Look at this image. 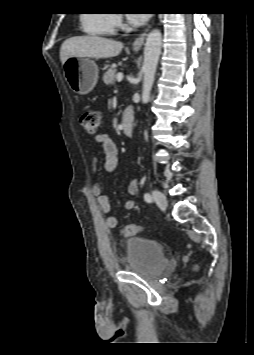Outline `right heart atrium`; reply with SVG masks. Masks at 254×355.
I'll return each mask as SVG.
<instances>
[{
    "mask_svg": "<svg viewBox=\"0 0 254 355\" xmlns=\"http://www.w3.org/2000/svg\"><path fill=\"white\" fill-rule=\"evenodd\" d=\"M110 22L114 31L122 26V19L119 13L114 12L110 14Z\"/></svg>",
    "mask_w": 254,
    "mask_h": 355,
    "instance_id": "d8ad5b80",
    "label": "right heart atrium"
}]
</instances>
